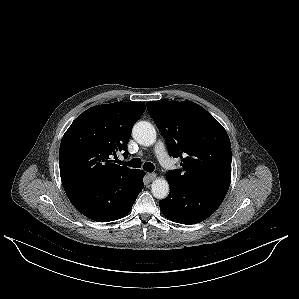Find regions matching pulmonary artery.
Segmentation results:
<instances>
[{
	"label": "pulmonary artery",
	"instance_id": "e3ab8cb5",
	"mask_svg": "<svg viewBox=\"0 0 299 299\" xmlns=\"http://www.w3.org/2000/svg\"><path fill=\"white\" fill-rule=\"evenodd\" d=\"M154 153L160 162V164L166 168L171 169L172 168V162L170 157L168 156L164 144L161 141H158L154 147Z\"/></svg>",
	"mask_w": 299,
	"mask_h": 299
}]
</instances>
